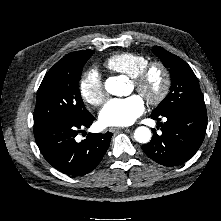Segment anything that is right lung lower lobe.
Wrapping results in <instances>:
<instances>
[{"mask_svg":"<svg viewBox=\"0 0 221 221\" xmlns=\"http://www.w3.org/2000/svg\"><path fill=\"white\" fill-rule=\"evenodd\" d=\"M94 120L89 112L78 120L60 121L34 128L36 143L54 168L72 175L81 176L91 172L106 153L112 133H89L86 139L76 141L81 128H88Z\"/></svg>","mask_w":221,"mask_h":221,"instance_id":"right-lung-lower-lobe-1","label":"right lung lower lobe"}]
</instances>
